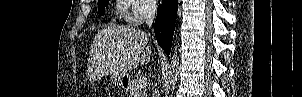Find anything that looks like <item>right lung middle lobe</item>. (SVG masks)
Listing matches in <instances>:
<instances>
[{
    "mask_svg": "<svg viewBox=\"0 0 302 97\" xmlns=\"http://www.w3.org/2000/svg\"><path fill=\"white\" fill-rule=\"evenodd\" d=\"M109 3V0H100L98 1V12L99 15H103L105 12V7L107 6V4Z\"/></svg>",
    "mask_w": 302,
    "mask_h": 97,
    "instance_id": "dd1d6c3e",
    "label": "right lung middle lobe"
}]
</instances>
